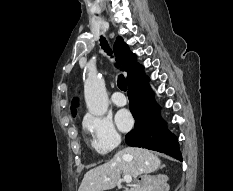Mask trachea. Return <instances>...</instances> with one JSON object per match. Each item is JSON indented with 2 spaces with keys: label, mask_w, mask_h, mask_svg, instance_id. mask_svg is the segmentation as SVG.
Listing matches in <instances>:
<instances>
[{
  "label": "trachea",
  "mask_w": 233,
  "mask_h": 191,
  "mask_svg": "<svg viewBox=\"0 0 233 191\" xmlns=\"http://www.w3.org/2000/svg\"><path fill=\"white\" fill-rule=\"evenodd\" d=\"M100 44L102 46V48L104 49V51L108 54V55H111L112 52H111V49L107 43V41L105 40L104 37H102L100 39ZM117 84H118V87L122 90V91H126L127 90V83H126V79L123 75H120L118 77V81H117Z\"/></svg>",
  "instance_id": "obj_1"
}]
</instances>
